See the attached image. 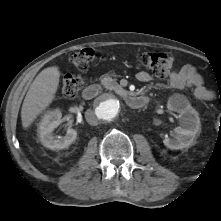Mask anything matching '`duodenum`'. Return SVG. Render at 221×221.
Masks as SVG:
<instances>
[{
    "label": "duodenum",
    "mask_w": 221,
    "mask_h": 221,
    "mask_svg": "<svg viewBox=\"0 0 221 221\" xmlns=\"http://www.w3.org/2000/svg\"><path fill=\"white\" fill-rule=\"evenodd\" d=\"M101 91V85L97 83H92L86 87L83 92V96L86 100H91L95 98ZM125 101L131 108H141L147 104L148 98L145 96H136V95H125Z\"/></svg>",
    "instance_id": "1"
}]
</instances>
